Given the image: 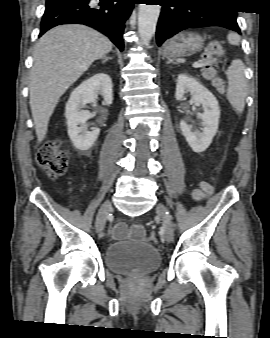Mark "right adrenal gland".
<instances>
[{"instance_id": "right-adrenal-gland-1", "label": "right adrenal gland", "mask_w": 270, "mask_h": 338, "mask_svg": "<svg viewBox=\"0 0 270 338\" xmlns=\"http://www.w3.org/2000/svg\"><path fill=\"white\" fill-rule=\"evenodd\" d=\"M109 60H112V58L111 57H104V59L102 60V63L104 64Z\"/></svg>"}]
</instances>
